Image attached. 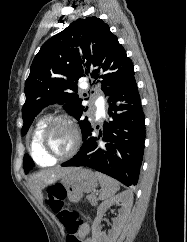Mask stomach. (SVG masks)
Masks as SVG:
<instances>
[{"label": "stomach", "instance_id": "stomach-1", "mask_svg": "<svg viewBox=\"0 0 187 242\" xmlns=\"http://www.w3.org/2000/svg\"><path fill=\"white\" fill-rule=\"evenodd\" d=\"M60 184L65 188L69 201L76 203L82 198L83 193L92 192L98 181L91 170L76 168L64 176Z\"/></svg>", "mask_w": 187, "mask_h": 242}]
</instances>
